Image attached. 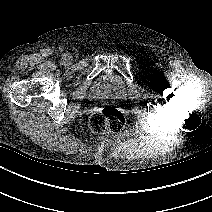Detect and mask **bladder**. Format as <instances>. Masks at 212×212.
<instances>
[{
    "label": "bladder",
    "instance_id": "31cf9c89",
    "mask_svg": "<svg viewBox=\"0 0 212 212\" xmlns=\"http://www.w3.org/2000/svg\"><path fill=\"white\" fill-rule=\"evenodd\" d=\"M91 95L95 99L119 100L125 97L126 88L119 79L106 75L95 83Z\"/></svg>",
    "mask_w": 212,
    "mask_h": 212
}]
</instances>
